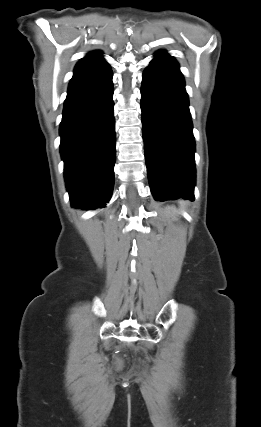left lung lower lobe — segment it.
I'll use <instances>...</instances> for the list:
<instances>
[{
    "mask_svg": "<svg viewBox=\"0 0 261 427\" xmlns=\"http://www.w3.org/2000/svg\"><path fill=\"white\" fill-rule=\"evenodd\" d=\"M142 133L147 174L157 201L194 200L195 142L185 83L177 62L158 51L143 73Z\"/></svg>",
    "mask_w": 261,
    "mask_h": 427,
    "instance_id": "0a47b994",
    "label": "left lung lower lobe"
}]
</instances>
